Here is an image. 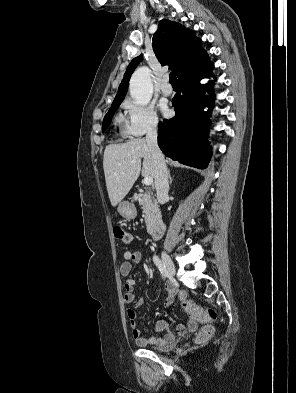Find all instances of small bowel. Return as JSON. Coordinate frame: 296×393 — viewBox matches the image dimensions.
Instances as JSON below:
<instances>
[{"label":"small bowel","instance_id":"c3829d8e","mask_svg":"<svg viewBox=\"0 0 296 393\" xmlns=\"http://www.w3.org/2000/svg\"><path fill=\"white\" fill-rule=\"evenodd\" d=\"M142 257L143 254L141 251H135V252L126 251L123 255V261L119 265L120 274L127 278L124 283L125 293L123 296V300L126 304H131V303L134 304L132 308H129L127 310V317L132 329L133 337L135 338L138 345L164 346L174 340V334L168 331V324L166 321L161 320L157 322V326H156L157 330L159 332H164V335L162 337H158L157 335L154 334L144 337L142 335L141 330L138 329L137 327L136 309L144 304V299L140 298L136 300L135 293H134L136 282L134 279L128 277L132 271L133 263H138L142 259ZM165 291H166L165 308H168L171 305L175 297H178L180 301L187 299L184 291L174 287L170 283H165ZM198 322L199 321L190 317L187 325H182V324L177 325L176 334L181 336L189 332H194L198 327Z\"/></svg>","mask_w":296,"mask_h":393}]
</instances>
